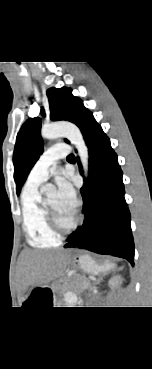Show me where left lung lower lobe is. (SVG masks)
<instances>
[{"instance_id": "1", "label": "left lung lower lobe", "mask_w": 152, "mask_h": 369, "mask_svg": "<svg viewBox=\"0 0 152 369\" xmlns=\"http://www.w3.org/2000/svg\"><path fill=\"white\" fill-rule=\"evenodd\" d=\"M89 151V177L81 188L85 220L64 246L127 259L134 265L131 215L124 198L122 170L110 140L93 114L81 128ZM80 165V172L82 166Z\"/></svg>"}]
</instances>
